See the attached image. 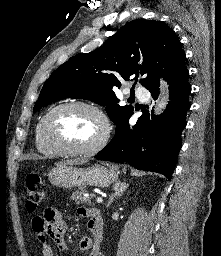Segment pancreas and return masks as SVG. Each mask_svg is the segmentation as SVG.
<instances>
[{"mask_svg":"<svg viewBox=\"0 0 221 256\" xmlns=\"http://www.w3.org/2000/svg\"><path fill=\"white\" fill-rule=\"evenodd\" d=\"M83 193H84V190L75 191L72 193L71 199L74 200L77 204L81 203V204H87V205H91V204L94 205V203L91 202L92 196L85 197Z\"/></svg>","mask_w":221,"mask_h":256,"instance_id":"cf45deb5","label":"pancreas"}]
</instances>
